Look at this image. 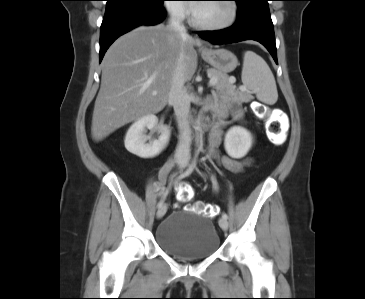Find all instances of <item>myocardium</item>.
<instances>
[{"mask_svg": "<svg viewBox=\"0 0 365 299\" xmlns=\"http://www.w3.org/2000/svg\"><path fill=\"white\" fill-rule=\"evenodd\" d=\"M231 6V16L230 18L221 24H205L200 22L196 16L194 11L192 12V17H191V22L192 24L200 29L203 30H207V31H221V30H225L230 28L231 26H233L237 19H238V15H239V6L236 2V0H227Z\"/></svg>", "mask_w": 365, "mask_h": 299, "instance_id": "f54148a6", "label": "myocardium"}]
</instances>
